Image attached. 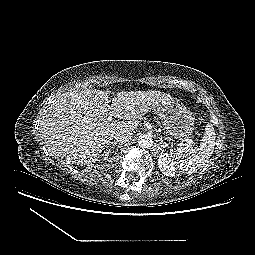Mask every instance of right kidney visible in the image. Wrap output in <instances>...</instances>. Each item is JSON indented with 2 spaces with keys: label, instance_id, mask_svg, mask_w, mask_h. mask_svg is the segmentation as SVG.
Returning a JSON list of instances; mask_svg holds the SVG:
<instances>
[{
  "label": "right kidney",
  "instance_id": "obj_1",
  "mask_svg": "<svg viewBox=\"0 0 255 255\" xmlns=\"http://www.w3.org/2000/svg\"><path fill=\"white\" fill-rule=\"evenodd\" d=\"M109 154H111L110 149L109 150H105L104 154L99 155L98 159L99 160H106L108 158Z\"/></svg>",
  "mask_w": 255,
  "mask_h": 255
}]
</instances>
